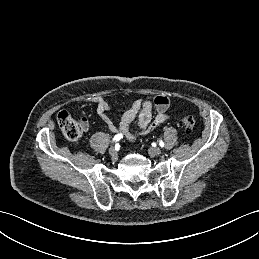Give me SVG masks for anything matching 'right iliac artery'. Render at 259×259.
Listing matches in <instances>:
<instances>
[{
  "label": "right iliac artery",
  "mask_w": 259,
  "mask_h": 259,
  "mask_svg": "<svg viewBox=\"0 0 259 259\" xmlns=\"http://www.w3.org/2000/svg\"><path fill=\"white\" fill-rule=\"evenodd\" d=\"M121 138H123L122 134H117V135L114 137L113 141H119Z\"/></svg>",
  "instance_id": "obj_1"
}]
</instances>
